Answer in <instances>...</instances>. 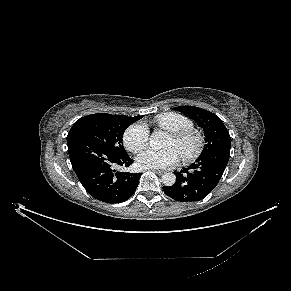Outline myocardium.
<instances>
[{
  "label": "myocardium",
  "instance_id": "1",
  "mask_svg": "<svg viewBox=\"0 0 291 291\" xmlns=\"http://www.w3.org/2000/svg\"><path fill=\"white\" fill-rule=\"evenodd\" d=\"M171 136L179 143H184L188 140H193L194 145L192 149L183 155H181V159L183 162H192L201 154L205 144V136L202 131L189 128L176 132H171Z\"/></svg>",
  "mask_w": 291,
  "mask_h": 291
}]
</instances>
